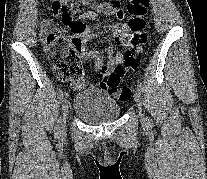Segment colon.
<instances>
[{
	"label": "colon",
	"mask_w": 207,
	"mask_h": 179,
	"mask_svg": "<svg viewBox=\"0 0 207 179\" xmlns=\"http://www.w3.org/2000/svg\"><path fill=\"white\" fill-rule=\"evenodd\" d=\"M149 4L150 0H129L127 5L128 28L132 33L128 35V41L132 48L125 50L122 63L112 71H109L107 66L101 69L100 87L119 101L124 102L130 99L132 90L121 86V80L129 70L137 71L140 68L141 58L137 53L148 43L145 16ZM51 8L54 13L60 14L64 24H72L73 20L70 15L80 11V6L72 0H51ZM40 34L43 47L58 79L63 82L84 83L86 68L77 52V42L72 39L65 47L57 48L60 32L51 20H45L42 23Z\"/></svg>",
	"instance_id": "colon-1"
}]
</instances>
